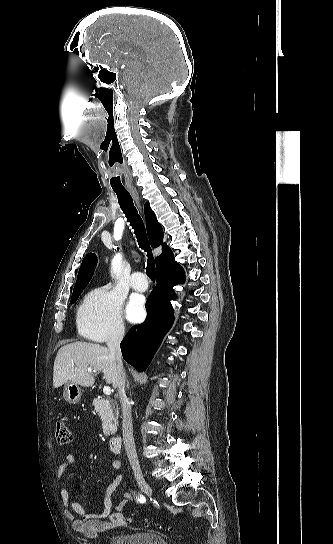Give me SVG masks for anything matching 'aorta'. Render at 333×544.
<instances>
[{"mask_svg":"<svg viewBox=\"0 0 333 544\" xmlns=\"http://www.w3.org/2000/svg\"><path fill=\"white\" fill-rule=\"evenodd\" d=\"M121 261V256L119 254H117L114 259H113V270L116 271L117 267H118V264L120 263Z\"/></svg>","mask_w":333,"mask_h":544,"instance_id":"762f6f07","label":"aorta"}]
</instances>
